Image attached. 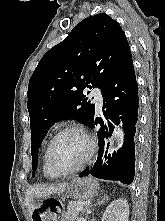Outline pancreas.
Instances as JSON below:
<instances>
[{"label": "pancreas", "instance_id": "pancreas-1", "mask_svg": "<svg viewBox=\"0 0 165 221\" xmlns=\"http://www.w3.org/2000/svg\"><path fill=\"white\" fill-rule=\"evenodd\" d=\"M76 206V203H69L67 206V212L64 216V221H74L78 217L79 211L75 209Z\"/></svg>", "mask_w": 165, "mask_h": 221}]
</instances>
